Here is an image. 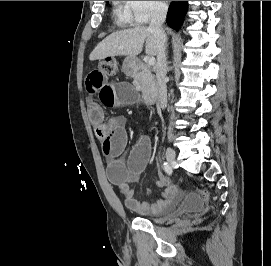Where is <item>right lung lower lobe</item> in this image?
Listing matches in <instances>:
<instances>
[{
    "label": "right lung lower lobe",
    "mask_w": 271,
    "mask_h": 266,
    "mask_svg": "<svg viewBox=\"0 0 271 266\" xmlns=\"http://www.w3.org/2000/svg\"><path fill=\"white\" fill-rule=\"evenodd\" d=\"M187 9L188 1L172 2L167 13L168 25L175 30H179L183 23Z\"/></svg>",
    "instance_id": "right-lung-lower-lobe-1"
}]
</instances>
